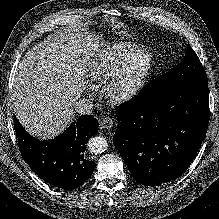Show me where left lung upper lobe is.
<instances>
[{
  "label": "left lung upper lobe",
  "mask_w": 219,
  "mask_h": 219,
  "mask_svg": "<svg viewBox=\"0 0 219 219\" xmlns=\"http://www.w3.org/2000/svg\"><path fill=\"white\" fill-rule=\"evenodd\" d=\"M193 84H208V80L197 54L188 44L182 62L145 85L138 96L155 98L175 88Z\"/></svg>",
  "instance_id": "5c2ea615"
}]
</instances>
